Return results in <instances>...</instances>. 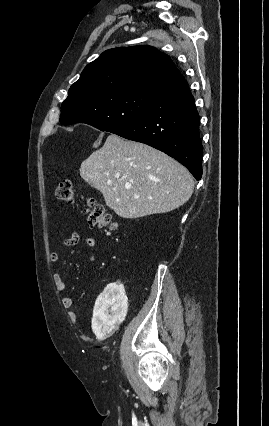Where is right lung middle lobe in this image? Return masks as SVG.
<instances>
[{"label":"right lung middle lobe","instance_id":"dd1d6c3e","mask_svg":"<svg viewBox=\"0 0 269 426\" xmlns=\"http://www.w3.org/2000/svg\"><path fill=\"white\" fill-rule=\"evenodd\" d=\"M157 95L158 92L141 89L106 92L92 98L73 93L62 103L60 123H86L113 132L141 117Z\"/></svg>","mask_w":269,"mask_h":426}]
</instances>
